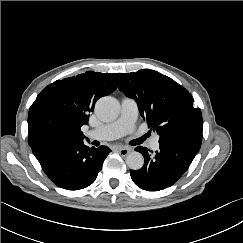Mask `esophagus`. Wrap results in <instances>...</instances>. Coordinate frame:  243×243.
<instances>
[{
  "label": "esophagus",
  "instance_id": "obj_1",
  "mask_svg": "<svg viewBox=\"0 0 243 243\" xmlns=\"http://www.w3.org/2000/svg\"><path fill=\"white\" fill-rule=\"evenodd\" d=\"M117 151H118L122 156H126V155L130 152V150H129L128 148H125V147H123V148H117Z\"/></svg>",
  "mask_w": 243,
  "mask_h": 243
}]
</instances>
